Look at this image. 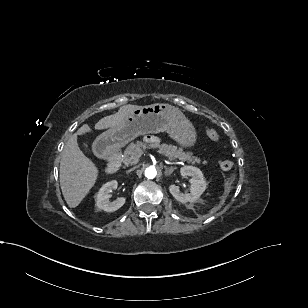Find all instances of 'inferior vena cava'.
Returning <instances> with one entry per match:
<instances>
[{"instance_id":"1","label":"inferior vena cava","mask_w":308,"mask_h":308,"mask_svg":"<svg viewBox=\"0 0 308 308\" xmlns=\"http://www.w3.org/2000/svg\"><path fill=\"white\" fill-rule=\"evenodd\" d=\"M132 170H133V168H132V169H131V168H128V169H127V173H131Z\"/></svg>"}]
</instances>
